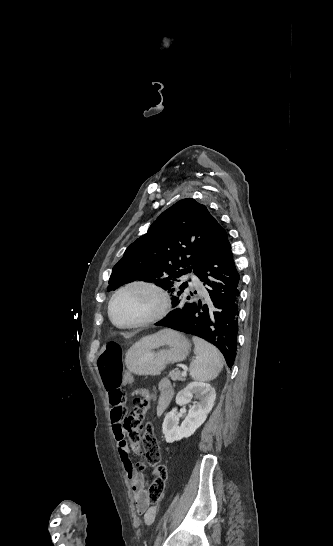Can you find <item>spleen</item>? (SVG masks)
Returning <instances> with one entry per match:
<instances>
[{
  "instance_id": "obj_1",
  "label": "spleen",
  "mask_w": 333,
  "mask_h": 546,
  "mask_svg": "<svg viewBox=\"0 0 333 546\" xmlns=\"http://www.w3.org/2000/svg\"><path fill=\"white\" fill-rule=\"evenodd\" d=\"M195 359L190 363V375L196 381L214 380L221 372L224 358L216 347L199 337H192Z\"/></svg>"
}]
</instances>
